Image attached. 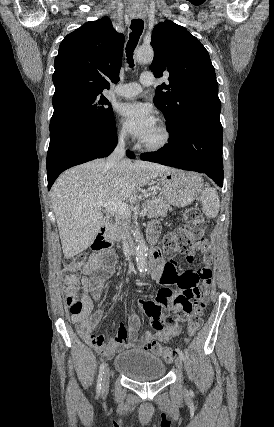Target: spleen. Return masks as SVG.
Wrapping results in <instances>:
<instances>
[{
  "label": "spleen",
  "instance_id": "spleen-1",
  "mask_svg": "<svg viewBox=\"0 0 274 427\" xmlns=\"http://www.w3.org/2000/svg\"><path fill=\"white\" fill-rule=\"evenodd\" d=\"M203 180L198 178L197 180V192L196 196L200 194L203 214L207 217H216L219 214V198L214 188H204L202 190Z\"/></svg>",
  "mask_w": 274,
  "mask_h": 427
}]
</instances>
